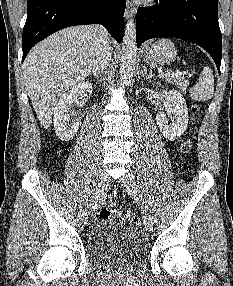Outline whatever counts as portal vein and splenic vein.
I'll return each instance as SVG.
<instances>
[{
	"label": "portal vein and splenic vein",
	"mask_w": 233,
	"mask_h": 286,
	"mask_svg": "<svg viewBox=\"0 0 233 286\" xmlns=\"http://www.w3.org/2000/svg\"><path fill=\"white\" fill-rule=\"evenodd\" d=\"M183 74H184L183 72L176 71V73H169L168 75L169 76H180V75H183ZM159 76L160 77H164V74L162 72H159Z\"/></svg>",
	"instance_id": "portal-vein-and-splenic-vein-1"
}]
</instances>
